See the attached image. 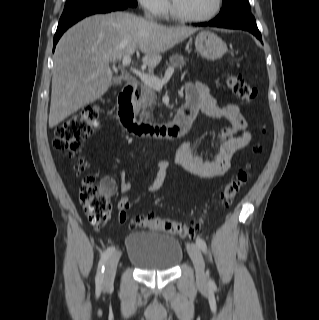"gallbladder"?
<instances>
[{
	"label": "gallbladder",
	"mask_w": 319,
	"mask_h": 320,
	"mask_svg": "<svg viewBox=\"0 0 319 320\" xmlns=\"http://www.w3.org/2000/svg\"><path fill=\"white\" fill-rule=\"evenodd\" d=\"M120 83H121L120 80H115V81H114V84H115V85H119Z\"/></svg>",
	"instance_id": "gallbladder-1"
}]
</instances>
